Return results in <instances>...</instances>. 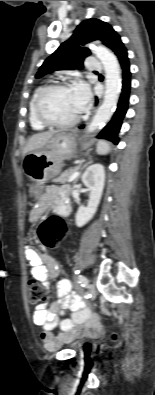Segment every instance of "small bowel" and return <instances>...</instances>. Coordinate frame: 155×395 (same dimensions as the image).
<instances>
[{
    "label": "small bowel",
    "instance_id": "c3829d8e",
    "mask_svg": "<svg viewBox=\"0 0 155 395\" xmlns=\"http://www.w3.org/2000/svg\"><path fill=\"white\" fill-rule=\"evenodd\" d=\"M67 196V187H49L33 211L32 221H37L50 211L58 215H63V210L69 211ZM25 257L31 267L33 278L48 289L51 279L60 273L58 262L49 255L38 253L31 247L26 248ZM56 292L59 297L56 303L49 308L45 304H40L33 312V322L42 327L40 338L47 350H54L64 343L100 331L99 317L84 306L78 295L71 292L69 280L61 279L57 283ZM65 310L71 311V318H62ZM57 326L60 332L54 335L53 330Z\"/></svg>",
    "mask_w": 155,
    "mask_h": 395
}]
</instances>
